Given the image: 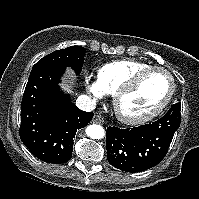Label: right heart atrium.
Listing matches in <instances>:
<instances>
[{
  "mask_svg": "<svg viewBox=\"0 0 199 199\" xmlns=\"http://www.w3.org/2000/svg\"><path fill=\"white\" fill-rule=\"evenodd\" d=\"M85 89L93 100L102 99L107 94V92L97 79L87 80L85 82Z\"/></svg>",
  "mask_w": 199,
  "mask_h": 199,
  "instance_id": "d8ad5b80",
  "label": "right heart atrium"
}]
</instances>
